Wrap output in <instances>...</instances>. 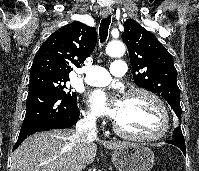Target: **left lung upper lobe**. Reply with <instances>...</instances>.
<instances>
[{"instance_id": "left-lung-upper-lobe-1", "label": "left lung upper lobe", "mask_w": 199, "mask_h": 171, "mask_svg": "<svg viewBox=\"0 0 199 171\" xmlns=\"http://www.w3.org/2000/svg\"><path fill=\"white\" fill-rule=\"evenodd\" d=\"M122 40L129 51L135 84L162 96L180 119V91L172 55L154 34L132 19L124 23Z\"/></svg>"}]
</instances>
